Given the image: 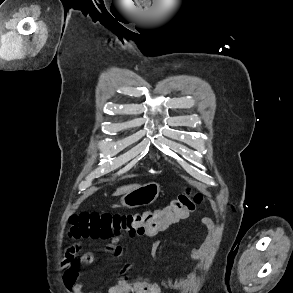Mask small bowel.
Wrapping results in <instances>:
<instances>
[{"label":"small bowel","instance_id":"small-bowel-1","mask_svg":"<svg viewBox=\"0 0 293 293\" xmlns=\"http://www.w3.org/2000/svg\"><path fill=\"white\" fill-rule=\"evenodd\" d=\"M201 224L206 228L207 233L203 241L199 245H195L191 252L189 260L200 261L206 255L214 237L216 234V227L213 220L210 217H203ZM169 226V225H168ZM167 226V227H168ZM167 227L155 231L144 232L140 234H129L130 236L138 235L145 237H154L158 233L164 231ZM122 235L117 234L110 238V242L105 246L103 252L112 257H121L124 254L122 246L118 243L121 240ZM159 241L153 240L151 242V258L154 262L157 260V250L159 247ZM80 243L71 244L65 253V257L62 261V277L63 282L68 291L71 293H83L84 285L78 281L80 269L82 266L90 265L96 261V256L92 252H82ZM193 281L192 275H187L183 278L167 279L163 281L162 287L173 290H181L187 287ZM161 286L155 282L149 280H138L136 282H129L126 277L120 276L117 282L110 286L107 293H140V289L143 287H149L154 290L151 293H161ZM89 293H101L100 291H92Z\"/></svg>","mask_w":293,"mask_h":293}]
</instances>
